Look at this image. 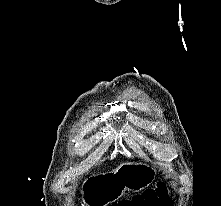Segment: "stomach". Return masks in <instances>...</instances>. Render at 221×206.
<instances>
[{
  "instance_id": "0dacf381",
  "label": "stomach",
  "mask_w": 221,
  "mask_h": 206,
  "mask_svg": "<svg viewBox=\"0 0 221 206\" xmlns=\"http://www.w3.org/2000/svg\"><path fill=\"white\" fill-rule=\"evenodd\" d=\"M155 174V169L146 163L127 162L110 173L94 175L85 184L83 206H108L125 191L138 192L148 187Z\"/></svg>"
}]
</instances>
